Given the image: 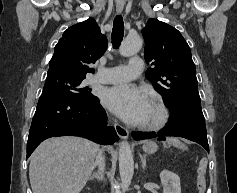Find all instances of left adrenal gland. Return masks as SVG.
Masks as SVG:
<instances>
[{"label":"left adrenal gland","mask_w":237,"mask_h":193,"mask_svg":"<svg viewBox=\"0 0 237 193\" xmlns=\"http://www.w3.org/2000/svg\"><path fill=\"white\" fill-rule=\"evenodd\" d=\"M140 158H141V162H142V168L144 170L146 168V156L140 155Z\"/></svg>","instance_id":"obj_1"}]
</instances>
